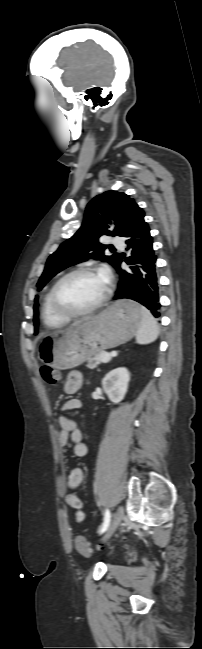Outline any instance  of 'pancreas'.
I'll return each mask as SVG.
<instances>
[{
	"label": "pancreas",
	"mask_w": 202,
	"mask_h": 649,
	"mask_svg": "<svg viewBox=\"0 0 202 649\" xmlns=\"http://www.w3.org/2000/svg\"><path fill=\"white\" fill-rule=\"evenodd\" d=\"M102 353H107L105 351H100L99 353L95 354L92 358L88 359L87 362V367L90 369H94L97 367V365L101 364V354Z\"/></svg>",
	"instance_id": "cf45deb5"
}]
</instances>
